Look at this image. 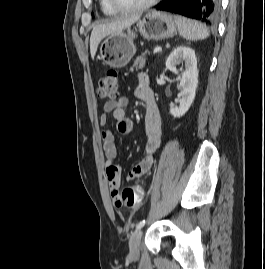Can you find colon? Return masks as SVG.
I'll use <instances>...</instances> for the list:
<instances>
[{
    "label": "colon",
    "instance_id": "5ec220e1",
    "mask_svg": "<svg viewBox=\"0 0 265 269\" xmlns=\"http://www.w3.org/2000/svg\"><path fill=\"white\" fill-rule=\"evenodd\" d=\"M118 73L115 70H109L100 79L98 95L101 99L115 100L118 97ZM144 191L139 186H129L124 188L118 194L120 206L135 207L142 201Z\"/></svg>",
    "mask_w": 265,
    "mask_h": 269
}]
</instances>
